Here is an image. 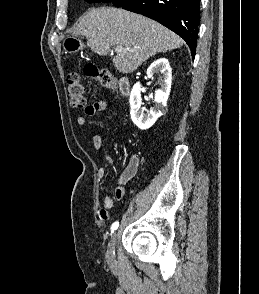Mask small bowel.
<instances>
[{
	"label": "small bowel",
	"mask_w": 259,
	"mask_h": 294,
	"mask_svg": "<svg viewBox=\"0 0 259 294\" xmlns=\"http://www.w3.org/2000/svg\"><path fill=\"white\" fill-rule=\"evenodd\" d=\"M107 107V103L104 100H96L92 104H89L85 107V114L87 116H94L97 113L104 111ZM79 125H84L86 123V116L79 115L76 119ZM91 142L94 148L97 151L102 152L104 159L107 163L113 166L114 161L109 154L104 151L102 135L100 133L93 134L91 136ZM138 158L136 156H132L127 167L120 175L118 180V184L115 188V195L118 200H121L124 196V188L123 186L126 182L134 176L138 168ZM105 177V170L103 168L98 170V178L103 179ZM113 207V199L109 196H106L101 201V209L99 211V217L101 220H107L109 218V210Z\"/></svg>",
	"instance_id": "c3829d8e"
}]
</instances>
